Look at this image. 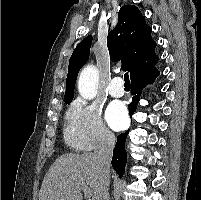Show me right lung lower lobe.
Here are the masks:
<instances>
[{"instance_id":"obj_1","label":"right lung lower lobe","mask_w":201,"mask_h":200,"mask_svg":"<svg viewBox=\"0 0 201 200\" xmlns=\"http://www.w3.org/2000/svg\"><path fill=\"white\" fill-rule=\"evenodd\" d=\"M158 75L159 71L155 68L154 64L153 66L137 73L131 78V93L133 97L129 109L130 116H132L136 110L143 88L147 85V83H152ZM128 133L129 130L118 136L115 149L113 150V158L111 163L119 177L123 176L127 161L125 141Z\"/></svg>"}]
</instances>
